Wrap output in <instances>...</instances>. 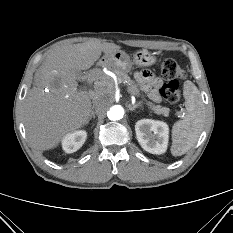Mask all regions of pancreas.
Masks as SVG:
<instances>
[{
  "mask_svg": "<svg viewBox=\"0 0 233 233\" xmlns=\"http://www.w3.org/2000/svg\"><path fill=\"white\" fill-rule=\"evenodd\" d=\"M115 73L120 82L126 83V85L128 86V92L130 94L135 95L137 97L141 95L138 85L133 80H131V78L126 73L118 69H115ZM147 105L152 111H154L158 115L162 114L164 116H168L169 114V108L167 107L155 105L152 102H148Z\"/></svg>",
  "mask_w": 233,
  "mask_h": 233,
  "instance_id": "cf45deb5",
  "label": "pancreas"
}]
</instances>
